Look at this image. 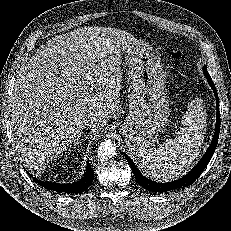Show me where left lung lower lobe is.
<instances>
[{
  "label": "left lung lower lobe",
  "mask_w": 231,
  "mask_h": 231,
  "mask_svg": "<svg viewBox=\"0 0 231 231\" xmlns=\"http://www.w3.org/2000/svg\"><path fill=\"white\" fill-rule=\"evenodd\" d=\"M205 77L207 78L208 83L210 84L211 88L213 89V92L215 94L216 102H217V118H216V127H215V133L212 139V142L204 154V156L201 158V160L198 162V164L184 177L168 182V183H157L150 179H147L144 177L139 170L134 165L132 159L124 153L125 158L127 159L128 163L130 164L133 174L135 176L136 181L145 189L152 191V192H167L171 190H176L179 188H183L186 186L191 185L203 172V170L208 165L209 161L211 160L213 153L216 149L218 138H219V131H220V113H219V100L218 95L216 92V88L214 86V83L212 82V79L207 72H203Z\"/></svg>",
  "instance_id": "0a47b994"
}]
</instances>
